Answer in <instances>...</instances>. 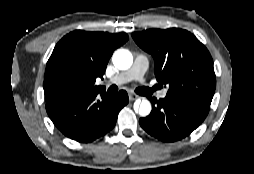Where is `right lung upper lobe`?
I'll return each instance as SVG.
<instances>
[{
	"label": "right lung upper lobe",
	"instance_id": "right-lung-upper-lobe-1",
	"mask_svg": "<svg viewBox=\"0 0 254 174\" xmlns=\"http://www.w3.org/2000/svg\"><path fill=\"white\" fill-rule=\"evenodd\" d=\"M128 40L124 32L73 31L65 35L55 46L46 66L43 88L46 100L55 84L62 80L80 83L86 91L101 90L96 86L102 78L113 51Z\"/></svg>",
	"mask_w": 254,
	"mask_h": 174
}]
</instances>
